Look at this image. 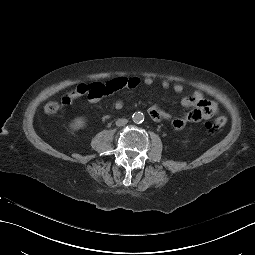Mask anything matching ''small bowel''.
Here are the masks:
<instances>
[{
    "instance_id": "1",
    "label": "small bowel",
    "mask_w": 255,
    "mask_h": 255,
    "mask_svg": "<svg viewBox=\"0 0 255 255\" xmlns=\"http://www.w3.org/2000/svg\"><path fill=\"white\" fill-rule=\"evenodd\" d=\"M152 84L153 79L151 77H118L104 83H80L73 90L67 92L61 100L64 105H68L77 98L87 97L90 102L95 103L118 90L135 89L141 85L150 86ZM170 86V81H161L162 88L167 89ZM172 88L176 93H182L184 90V86L181 83L173 84ZM181 104L184 107L192 108V110L187 116L178 117L172 121V127L176 130L183 129L188 122H199L201 120L210 119L216 114L218 109L217 104L214 101L204 98L199 91H195L191 95L183 97ZM114 107L116 109H121L123 107V101L116 100L114 102ZM148 112L154 120H160L166 115V113L157 106L150 107Z\"/></svg>"
}]
</instances>
